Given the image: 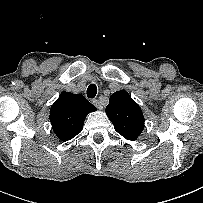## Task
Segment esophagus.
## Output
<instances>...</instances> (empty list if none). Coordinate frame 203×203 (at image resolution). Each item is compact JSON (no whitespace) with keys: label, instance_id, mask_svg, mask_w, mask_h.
Here are the masks:
<instances>
[{"label":"esophagus","instance_id":"obj_1","mask_svg":"<svg viewBox=\"0 0 203 203\" xmlns=\"http://www.w3.org/2000/svg\"><path fill=\"white\" fill-rule=\"evenodd\" d=\"M92 104L96 107V108H98V109H102V105H101V103H100V101L99 100H97V99H94V100H92Z\"/></svg>","mask_w":203,"mask_h":203}]
</instances>
